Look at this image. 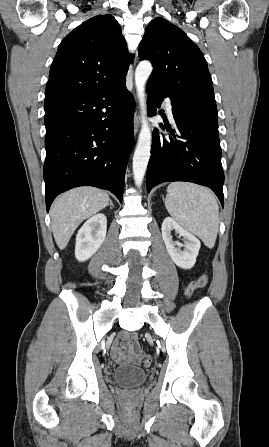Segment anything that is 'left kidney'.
Here are the masks:
<instances>
[{
	"label": "left kidney",
	"mask_w": 269,
	"mask_h": 447,
	"mask_svg": "<svg viewBox=\"0 0 269 447\" xmlns=\"http://www.w3.org/2000/svg\"><path fill=\"white\" fill-rule=\"evenodd\" d=\"M161 229L166 249L174 263L179 265V267H184V269L193 267L201 247L199 239H197L195 235H192V233H189V231H186V229H183V227L177 224L175 220H172V218H165ZM171 229H175L176 233L183 235L184 243H180V241L174 243ZM176 245H178V247H176ZM180 247H184L183 251Z\"/></svg>",
	"instance_id": "1"
}]
</instances>
